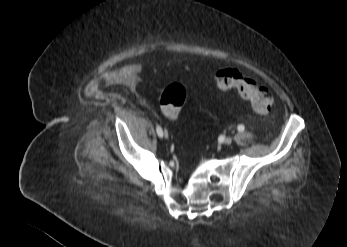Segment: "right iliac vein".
Returning <instances> with one entry per match:
<instances>
[{
    "label": "right iliac vein",
    "instance_id": "63e3f726",
    "mask_svg": "<svg viewBox=\"0 0 347 247\" xmlns=\"http://www.w3.org/2000/svg\"><path fill=\"white\" fill-rule=\"evenodd\" d=\"M164 136L168 137V132L167 131L164 132Z\"/></svg>",
    "mask_w": 347,
    "mask_h": 247
}]
</instances>
